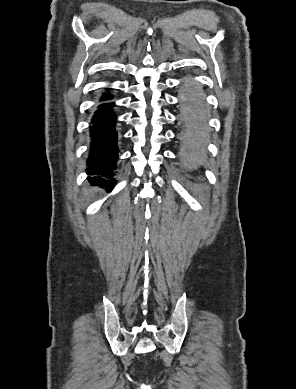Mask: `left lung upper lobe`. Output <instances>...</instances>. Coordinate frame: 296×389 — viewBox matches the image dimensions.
I'll use <instances>...</instances> for the list:
<instances>
[{"instance_id": "left-lung-upper-lobe-1", "label": "left lung upper lobe", "mask_w": 296, "mask_h": 389, "mask_svg": "<svg viewBox=\"0 0 296 389\" xmlns=\"http://www.w3.org/2000/svg\"><path fill=\"white\" fill-rule=\"evenodd\" d=\"M192 97H196V95L191 94V95L188 97V100H189L190 98H192ZM188 118H189V120H191V121L194 120V118H193V116H192L191 114H188Z\"/></svg>"}]
</instances>
